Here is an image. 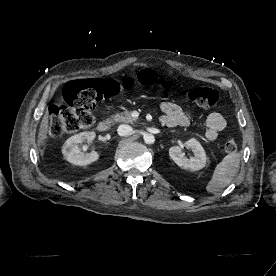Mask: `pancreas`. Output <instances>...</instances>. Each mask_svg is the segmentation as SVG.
Returning <instances> with one entry per match:
<instances>
[{
	"instance_id": "1",
	"label": "pancreas",
	"mask_w": 276,
	"mask_h": 276,
	"mask_svg": "<svg viewBox=\"0 0 276 276\" xmlns=\"http://www.w3.org/2000/svg\"><path fill=\"white\" fill-rule=\"evenodd\" d=\"M107 121L109 123H134L137 121V119L133 118L131 116V112L130 111H125V112H122V113H116V114H113L111 115Z\"/></svg>"
}]
</instances>
